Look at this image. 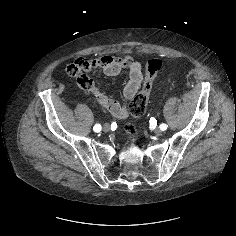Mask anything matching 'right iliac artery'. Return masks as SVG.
Wrapping results in <instances>:
<instances>
[{
  "label": "right iliac artery",
  "instance_id": "1",
  "mask_svg": "<svg viewBox=\"0 0 236 236\" xmlns=\"http://www.w3.org/2000/svg\"><path fill=\"white\" fill-rule=\"evenodd\" d=\"M93 130L95 132H100L101 131V125L100 124H96L94 127H93Z\"/></svg>",
  "mask_w": 236,
  "mask_h": 236
}]
</instances>
